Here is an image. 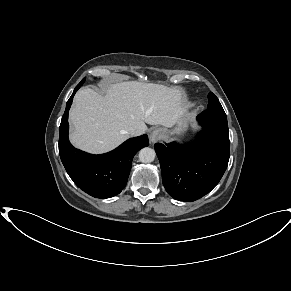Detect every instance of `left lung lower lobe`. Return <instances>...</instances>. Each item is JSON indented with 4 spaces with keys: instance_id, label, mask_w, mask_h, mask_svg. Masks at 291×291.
<instances>
[{
    "instance_id": "1",
    "label": "left lung lower lobe",
    "mask_w": 291,
    "mask_h": 291,
    "mask_svg": "<svg viewBox=\"0 0 291 291\" xmlns=\"http://www.w3.org/2000/svg\"><path fill=\"white\" fill-rule=\"evenodd\" d=\"M197 120L202 131L194 143L154 145L166 191L173 198L186 202L203 197L218 184L230 156L224 110H205Z\"/></svg>"
}]
</instances>
